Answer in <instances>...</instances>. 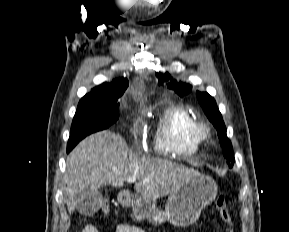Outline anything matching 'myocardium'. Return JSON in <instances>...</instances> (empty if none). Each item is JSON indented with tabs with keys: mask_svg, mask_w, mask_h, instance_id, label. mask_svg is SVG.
<instances>
[{
	"mask_svg": "<svg viewBox=\"0 0 289 232\" xmlns=\"http://www.w3.org/2000/svg\"><path fill=\"white\" fill-rule=\"evenodd\" d=\"M192 134L201 143L210 137V129L206 123L195 121Z\"/></svg>",
	"mask_w": 289,
	"mask_h": 232,
	"instance_id": "obj_1",
	"label": "myocardium"
}]
</instances>
